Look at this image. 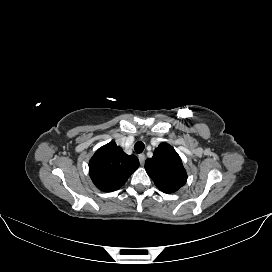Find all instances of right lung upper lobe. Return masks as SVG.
I'll return each instance as SVG.
<instances>
[{
	"label": "right lung upper lobe",
	"instance_id": "1",
	"mask_svg": "<svg viewBox=\"0 0 272 272\" xmlns=\"http://www.w3.org/2000/svg\"><path fill=\"white\" fill-rule=\"evenodd\" d=\"M135 155H127L115 142L99 148L89 162V174L96 187L104 192L118 190L138 168Z\"/></svg>",
	"mask_w": 272,
	"mask_h": 272
}]
</instances>
